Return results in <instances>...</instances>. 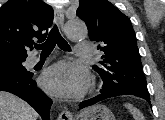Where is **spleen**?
Masks as SVG:
<instances>
[{"instance_id": "spleen-1", "label": "spleen", "mask_w": 165, "mask_h": 120, "mask_svg": "<svg viewBox=\"0 0 165 120\" xmlns=\"http://www.w3.org/2000/svg\"><path fill=\"white\" fill-rule=\"evenodd\" d=\"M124 106L133 115L134 120H145V117L143 116V114L136 107H134L132 104L125 103Z\"/></svg>"}]
</instances>
